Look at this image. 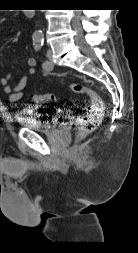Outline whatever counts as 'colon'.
Masks as SVG:
<instances>
[{
    "label": "colon",
    "instance_id": "colon-1",
    "mask_svg": "<svg viewBox=\"0 0 138 253\" xmlns=\"http://www.w3.org/2000/svg\"><path fill=\"white\" fill-rule=\"evenodd\" d=\"M73 92L85 94L89 98V104L78 118V137L82 138L93 132L99 125L104 115V103L102 99L90 88L80 82L71 85ZM32 99L37 104H48L55 102L53 93H34Z\"/></svg>",
    "mask_w": 138,
    "mask_h": 253
}]
</instances>
